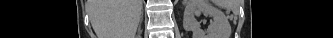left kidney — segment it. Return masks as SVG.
<instances>
[{"instance_id":"obj_1","label":"left kidney","mask_w":333,"mask_h":38,"mask_svg":"<svg viewBox=\"0 0 333 38\" xmlns=\"http://www.w3.org/2000/svg\"><path fill=\"white\" fill-rule=\"evenodd\" d=\"M212 17L207 30L201 28L196 17L201 14ZM183 26L193 32V38H230L231 27L225 14L208 0H187Z\"/></svg>"}]
</instances>
